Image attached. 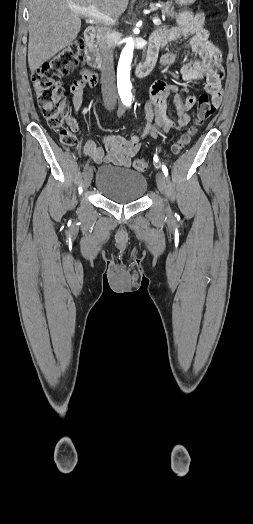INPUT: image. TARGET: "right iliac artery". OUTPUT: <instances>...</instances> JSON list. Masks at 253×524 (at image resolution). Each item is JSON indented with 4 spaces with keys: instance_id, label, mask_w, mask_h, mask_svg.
I'll list each match as a JSON object with an SVG mask.
<instances>
[{
    "instance_id": "82829eb1",
    "label": "right iliac artery",
    "mask_w": 253,
    "mask_h": 524,
    "mask_svg": "<svg viewBox=\"0 0 253 524\" xmlns=\"http://www.w3.org/2000/svg\"><path fill=\"white\" fill-rule=\"evenodd\" d=\"M124 112H125V107L123 105H120L119 108H118V111H117V116L120 118L123 115ZM88 166H89V160L84 165L83 175H84L86 169L88 168Z\"/></svg>"
}]
</instances>
